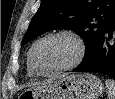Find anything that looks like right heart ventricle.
I'll list each match as a JSON object with an SVG mask.
<instances>
[{"label": "right heart ventricle", "instance_id": "right-heart-ventricle-1", "mask_svg": "<svg viewBox=\"0 0 115 99\" xmlns=\"http://www.w3.org/2000/svg\"><path fill=\"white\" fill-rule=\"evenodd\" d=\"M27 73L29 76H35L36 74L34 73V71L31 69L29 61L27 62Z\"/></svg>", "mask_w": 115, "mask_h": 99}]
</instances>
